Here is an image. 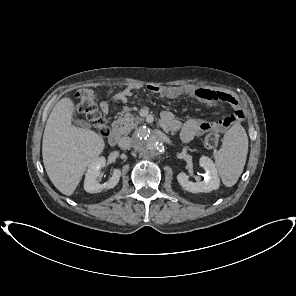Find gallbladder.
<instances>
[{"instance_id": "1", "label": "gallbladder", "mask_w": 296, "mask_h": 296, "mask_svg": "<svg viewBox=\"0 0 296 296\" xmlns=\"http://www.w3.org/2000/svg\"><path fill=\"white\" fill-rule=\"evenodd\" d=\"M72 123L76 126H81V127H84V128H88L89 127V124L84 121V120H79V119H73L72 120Z\"/></svg>"}]
</instances>
